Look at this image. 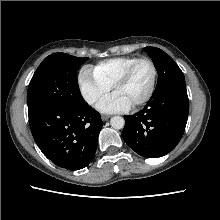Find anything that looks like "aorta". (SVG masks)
<instances>
[{
	"label": "aorta",
	"mask_w": 220,
	"mask_h": 220,
	"mask_svg": "<svg viewBox=\"0 0 220 220\" xmlns=\"http://www.w3.org/2000/svg\"><path fill=\"white\" fill-rule=\"evenodd\" d=\"M110 124H111L112 128L120 130L124 127L125 120L121 116H114L111 118Z\"/></svg>",
	"instance_id": "aorta-1"
}]
</instances>
